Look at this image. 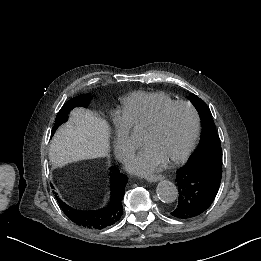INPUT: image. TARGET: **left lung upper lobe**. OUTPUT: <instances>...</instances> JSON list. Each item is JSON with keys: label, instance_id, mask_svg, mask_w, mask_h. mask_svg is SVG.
I'll use <instances>...</instances> for the list:
<instances>
[{"label": "left lung upper lobe", "instance_id": "left-lung-upper-lobe-1", "mask_svg": "<svg viewBox=\"0 0 261 261\" xmlns=\"http://www.w3.org/2000/svg\"><path fill=\"white\" fill-rule=\"evenodd\" d=\"M189 99L199 113L202 123V137L197 149L187 162L197 163L203 160H214L222 163L220 139L210 109L194 94L189 95Z\"/></svg>", "mask_w": 261, "mask_h": 261}]
</instances>
